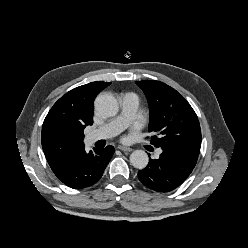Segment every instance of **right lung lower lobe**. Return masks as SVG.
I'll list each match as a JSON object with an SVG mask.
<instances>
[{"label": "right lung lower lobe", "instance_id": "1", "mask_svg": "<svg viewBox=\"0 0 248 248\" xmlns=\"http://www.w3.org/2000/svg\"><path fill=\"white\" fill-rule=\"evenodd\" d=\"M114 153L112 146L95 149L87 153L85 149L78 152L55 175L65 185L73 189L86 188L96 183L103 175Z\"/></svg>", "mask_w": 248, "mask_h": 248}]
</instances>
